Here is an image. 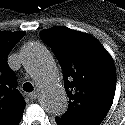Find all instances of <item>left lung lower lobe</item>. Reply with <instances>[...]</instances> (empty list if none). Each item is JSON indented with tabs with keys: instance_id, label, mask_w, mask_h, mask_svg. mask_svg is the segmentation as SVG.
I'll return each instance as SVG.
<instances>
[{
	"instance_id": "left-lung-lower-lobe-1",
	"label": "left lung lower lobe",
	"mask_w": 125,
	"mask_h": 125,
	"mask_svg": "<svg viewBox=\"0 0 125 125\" xmlns=\"http://www.w3.org/2000/svg\"><path fill=\"white\" fill-rule=\"evenodd\" d=\"M55 121H56L57 125H80V124L69 122L67 120H63L59 117H56Z\"/></svg>"
}]
</instances>
